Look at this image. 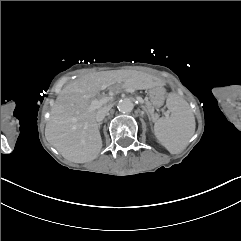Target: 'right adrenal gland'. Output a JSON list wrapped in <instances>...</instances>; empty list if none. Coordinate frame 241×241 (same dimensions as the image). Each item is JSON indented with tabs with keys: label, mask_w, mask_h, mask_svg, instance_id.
Instances as JSON below:
<instances>
[{
	"label": "right adrenal gland",
	"mask_w": 241,
	"mask_h": 241,
	"mask_svg": "<svg viewBox=\"0 0 241 241\" xmlns=\"http://www.w3.org/2000/svg\"><path fill=\"white\" fill-rule=\"evenodd\" d=\"M102 123L100 122V123H98V128H100V125H101Z\"/></svg>",
	"instance_id": "right-adrenal-gland-1"
}]
</instances>
